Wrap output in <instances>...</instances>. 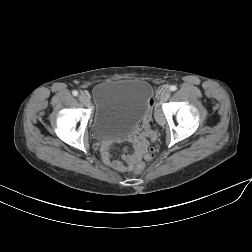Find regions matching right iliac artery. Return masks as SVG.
<instances>
[{
    "label": "right iliac artery",
    "instance_id": "82829eb1",
    "mask_svg": "<svg viewBox=\"0 0 252 252\" xmlns=\"http://www.w3.org/2000/svg\"><path fill=\"white\" fill-rule=\"evenodd\" d=\"M72 94H73L74 96H77V95H78V91L74 90V91L72 92Z\"/></svg>",
    "mask_w": 252,
    "mask_h": 252
}]
</instances>
